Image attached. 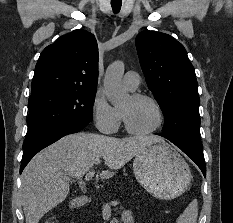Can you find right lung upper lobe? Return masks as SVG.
<instances>
[{"label":"right lung upper lobe","mask_w":233,"mask_h":223,"mask_svg":"<svg viewBox=\"0 0 233 223\" xmlns=\"http://www.w3.org/2000/svg\"><path fill=\"white\" fill-rule=\"evenodd\" d=\"M98 46L93 34L78 29L47 46L36 64L32 94L51 89H96Z\"/></svg>","instance_id":"1"}]
</instances>
